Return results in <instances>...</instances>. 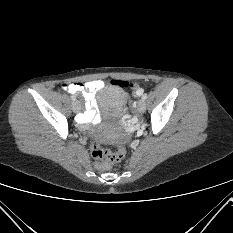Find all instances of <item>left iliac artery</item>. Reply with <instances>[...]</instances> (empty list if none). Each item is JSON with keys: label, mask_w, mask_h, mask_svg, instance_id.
<instances>
[{"label": "left iliac artery", "mask_w": 233, "mask_h": 233, "mask_svg": "<svg viewBox=\"0 0 233 233\" xmlns=\"http://www.w3.org/2000/svg\"><path fill=\"white\" fill-rule=\"evenodd\" d=\"M146 98H147V93H144V94L142 95V99L145 100Z\"/></svg>", "instance_id": "left-iliac-artery-1"}]
</instances>
